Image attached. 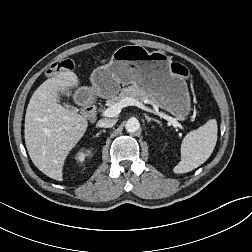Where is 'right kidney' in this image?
Instances as JSON below:
<instances>
[{"instance_id": "ca27d5eb", "label": "right kidney", "mask_w": 252, "mask_h": 252, "mask_svg": "<svg viewBox=\"0 0 252 252\" xmlns=\"http://www.w3.org/2000/svg\"><path fill=\"white\" fill-rule=\"evenodd\" d=\"M90 154V151H87L86 153L84 152H79L76 156V159L79 162H83L85 160V158Z\"/></svg>"}]
</instances>
